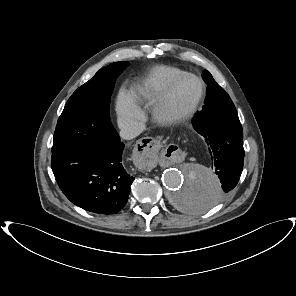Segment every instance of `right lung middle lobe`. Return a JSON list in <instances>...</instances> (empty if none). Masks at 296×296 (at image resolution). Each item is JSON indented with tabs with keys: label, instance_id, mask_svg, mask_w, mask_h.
Returning <instances> with one entry per match:
<instances>
[{
	"label": "right lung middle lobe",
	"instance_id": "obj_1",
	"mask_svg": "<svg viewBox=\"0 0 296 296\" xmlns=\"http://www.w3.org/2000/svg\"><path fill=\"white\" fill-rule=\"evenodd\" d=\"M129 65L121 61L100 69L66 103L54 133L52 154L84 145L111 142L110 97L117 77Z\"/></svg>",
	"mask_w": 296,
	"mask_h": 296
}]
</instances>
